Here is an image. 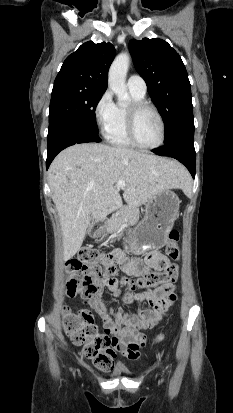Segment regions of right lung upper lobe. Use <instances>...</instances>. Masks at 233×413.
Returning a JSON list of instances; mask_svg holds the SVG:
<instances>
[{"label": "right lung upper lobe", "mask_w": 233, "mask_h": 413, "mask_svg": "<svg viewBox=\"0 0 233 413\" xmlns=\"http://www.w3.org/2000/svg\"><path fill=\"white\" fill-rule=\"evenodd\" d=\"M114 57L115 48L111 43L86 42L66 58L54 86L76 85L105 92Z\"/></svg>", "instance_id": "obj_1"}]
</instances>
